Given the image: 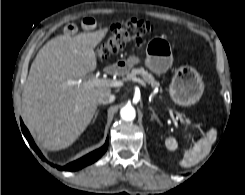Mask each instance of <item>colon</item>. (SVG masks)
<instances>
[{
	"mask_svg": "<svg viewBox=\"0 0 245 195\" xmlns=\"http://www.w3.org/2000/svg\"><path fill=\"white\" fill-rule=\"evenodd\" d=\"M153 30L152 25L142 19H132L125 23L113 26L107 41L99 47V57L105 58L118 53L129 42H142L143 37L150 34Z\"/></svg>",
	"mask_w": 245,
	"mask_h": 195,
	"instance_id": "1",
	"label": "colon"
}]
</instances>
